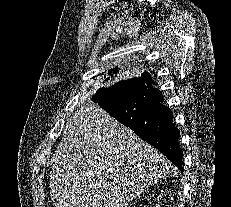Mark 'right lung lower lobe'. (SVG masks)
Instances as JSON below:
<instances>
[{"instance_id":"right-lung-lower-lobe-1","label":"right lung lower lobe","mask_w":231,"mask_h":207,"mask_svg":"<svg viewBox=\"0 0 231 207\" xmlns=\"http://www.w3.org/2000/svg\"><path fill=\"white\" fill-rule=\"evenodd\" d=\"M162 98V92L153 88L150 74L145 72L126 80L106 97L96 93L93 100L182 170L180 132L172 123V112L161 103Z\"/></svg>"}]
</instances>
